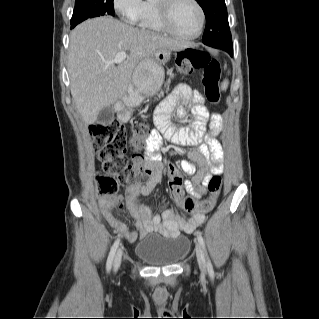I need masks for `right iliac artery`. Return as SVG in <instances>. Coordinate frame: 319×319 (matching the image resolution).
I'll list each match as a JSON object with an SVG mask.
<instances>
[{
  "instance_id": "obj_1",
  "label": "right iliac artery",
  "mask_w": 319,
  "mask_h": 319,
  "mask_svg": "<svg viewBox=\"0 0 319 319\" xmlns=\"http://www.w3.org/2000/svg\"><path fill=\"white\" fill-rule=\"evenodd\" d=\"M118 245H119V239H117L114 242V244H113V246H112V248H111V250L109 252L108 259H107V264H106L107 272H110V270H111L113 258H114V255L116 253V250L118 248Z\"/></svg>"
}]
</instances>
